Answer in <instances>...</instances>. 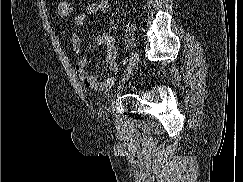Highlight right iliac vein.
Wrapping results in <instances>:
<instances>
[{
  "mask_svg": "<svg viewBox=\"0 0 243 182\" xmlns=\"http://www.w3.org/2000/svg\"><path fill=\"white\" fill-rule=\"evenodd\" d=\"M139 59V54L137 52H133L130 59H129V63H128V66H127V71L126 73L124 74L123 78H122V82L119 86V89L122 88V86L128 81V79L130 78L135 66H136V63Z\"/></svg>",
  "mask_w": 243,
  "mask_h": 182,
  "instance_id": "obj_1",
  "label": "right iliac vein"
}]
</instances>
